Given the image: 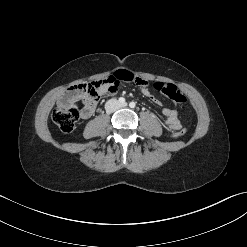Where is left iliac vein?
Wrapping results in <instances>:
<instances>
[{
  "instance_id": "1",
  "label": "left iliac vein",
  "mask_w": 247,
  "mask_h": 247,
  "mask_svg": "<svg viewBox=\"0 0 247 247\" xmlns=\"http://www.w3.org/2000/svg\"><path fill=\"white\" fill-rule=\"evenodd\" d=\"M126 106H127V104H126V103L121 104V107H126Z\"/></svg>"
}]
</instances>
